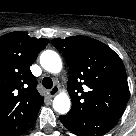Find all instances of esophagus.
<instances>
[{
    "label": "esophagus",
    "instance_id": "34e87169",
    "mask_svg": "<svg viewBox=\"0 0 136 136\" xmlns=\"http://www.w3.org/2000/svg\"><path fill=\"white\" fill-rule=\"evenodd\" d=\"M59 92V87L58 86H53L50 90H49V96L50 97H54L57 93Z\"/></svg>",
    "mask_w": 136,
    "mask_h": 136
}]
</instances>
